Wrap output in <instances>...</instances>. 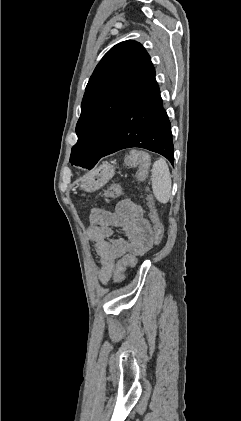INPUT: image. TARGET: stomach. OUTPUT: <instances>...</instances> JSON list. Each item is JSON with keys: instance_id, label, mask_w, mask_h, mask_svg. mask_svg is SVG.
<instances>
[{"instance_id": "obj_1", "label": "stomach", "mask_w": 241, "mask_h": 421, "mask_svg": "<svg viewBox=\"0 0 241 421\" xmlns=\"http://www.w3.org/2000/svg\"><path fill=\"white\" fill-rule=\"evenodd\" d=\"M115 174V168L104 163L81 180L80 187L87 192L95 191L105 185Z\"/></svg>"}]
</instances>
